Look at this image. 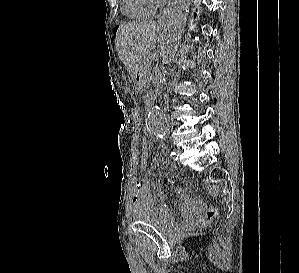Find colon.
Instances as JSON below:
<instances>
[{
	"mask_svg": "<svg viewBox=\"0 0 299 273\" xmlns=\"http://www.w3.org/2000/svg\"><path fill=\"white\" fill-rule=\"evenodd\" d=\"M141 147L142 149H148L149 148V144H148V139L146 137H142L141 140ZM218 214V210L217 208L215 207H209L207 210H206V213L205 215L203 216L202 218V222H210L212 220H214L216 218Z\"/></svg>",
	"mask_w": 299,
	"mask_h": 273,
	"instance_id": "1",
	"label": "colon"
}]
</instances>
